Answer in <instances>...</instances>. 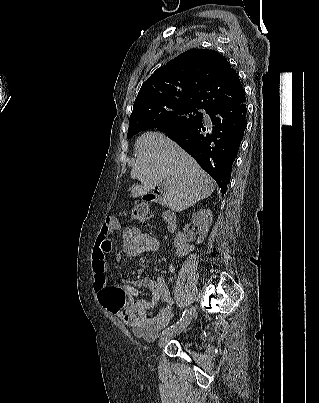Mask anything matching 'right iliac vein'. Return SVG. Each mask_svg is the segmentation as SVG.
<instances>
[{
  "instance_id": "63e3f726",
  "label": "right iliac vein",
  "mask_w": 319,
  "mask_h": 403,
  "mask_svg": "<svg viewBox=\"0 0 319 403\" xmlns=\"http://www.w3.org/2000/svg\"><path fill=\"white\" fill-rule=\"evenodd\" d=\"M195 313V307H192L190 311L187 313L184 320H182L177 326H175L172 330L164 332L159 339V347H163L173 336L182 332L191 322Z\"/></svg>"
}]
</instances>
